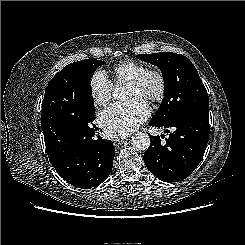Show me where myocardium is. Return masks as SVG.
Instances as JSON below:
<instances>
[{
	"label": "myocardium",
	"instance_id": "obj_1",
	"mask_svg": "<svg viewBox=\"0 0 245 245\" xmlns=\"http://www.w3.org/2000/svg\"><path fill=\"white\" fill-rule=\"evenodd\" d=\"M150 79H154L157 83L156 90L148 93L145 99L149 102L156 103L164 98L166 91V79L164 74L158 69H147L135 79L128 82V86L137 89H143Z\"/></svg>",
	"mask_w": 245,
	"mask_h": 245
}]
</instances>
